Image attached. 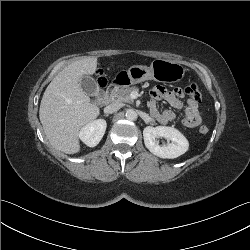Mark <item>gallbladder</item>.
I'll list each match as a JSON object with an SVG mask.
<instances>
[{
	"mask_svg": "<svg viewBox=\"0 0 250 250\" xmlns=\"http://www.w3.org/2000/svg\"><path fill=\"white\" fill-rule=\"evenodd\" d=\"M80 85H81V88L83 89V91L87 95H90V96L96 95L100 91L99 86L96 83V81L88 75H85L82 77Z\"/></svg>",
	"mask_w": 250,
	"mask_h": 250,
	"instance_id": "obj_1",
	"label": "gallbladder"
}]
</instances>
